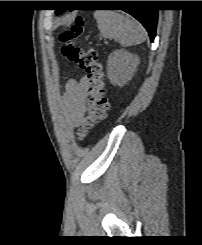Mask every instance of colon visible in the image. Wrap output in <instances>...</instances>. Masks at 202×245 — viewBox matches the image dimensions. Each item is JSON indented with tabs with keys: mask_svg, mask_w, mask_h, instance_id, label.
I'll list each match as a JSON object with an SVG mask.
<instances>
[{
	"mask_svg": "<svg viewBox=\"0 0 202 245\" xmlns=\"http://www.w3.org/2000/svg\"><path fill=\"white\" fill-rule=\"evenodd\" d=\"M84 31V21L77 17L69 29L60 36L64 56L89 78L88 96L78 131L84 137L107 116L109 102L103 63L93 48L82 49L74 44Z\"/></svg>",
	"mask_w": 202,
	"mask_h": 245,
	"instance_id": "obj_1",
	"label": "colon"
}]
</instances>
